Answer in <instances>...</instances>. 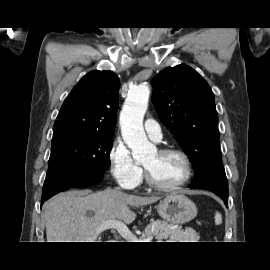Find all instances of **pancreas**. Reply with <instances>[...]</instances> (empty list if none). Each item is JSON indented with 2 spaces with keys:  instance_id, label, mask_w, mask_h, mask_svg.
Listing matches in <instances>:
<instances>
[{
  "instance_id": "cf45deb5",
  "label": "pancreas",
  "mask_w": 270,
  "mask_h": 270,
  "mask_svg": "<svg viewBox=\"0 0 270 270\" xmlns=\"http://www.w3.org/2000/svg\"><path fill=\"white\" fill-rule=\"evenodd\" d=\"M155 236L156 239H169V242H198L199 235L192 228H186L182 230L180 227H174L173 224H169L162 220H151L147 225L140 239H146L148 237Z\"/></svg>"
}]
</instances>
